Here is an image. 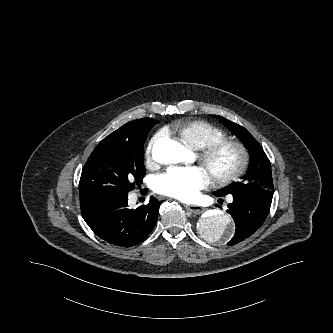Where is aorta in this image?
I'll return each instance as SVG.
<instances>
[{"instance_id":"762f6f07","label":"aorta","mask_w":333,"mask_h":333,"mask_svg":"<svg viewBox=\"0 0 333 333\" xmlns=\"http://www.w3.org/2000/svg\"><path fill=\"white\" fill-rule=\"evenodd\" d=\"M187 149L177 141L169 138L158 140L153 147V157L161 164L182 162ZM201 235L207 240L225 242L234 234V224L231 217L219 210L210 211L199 225Z\"/></svg>"}]
</instances>
